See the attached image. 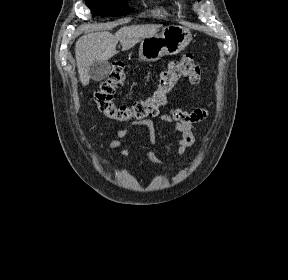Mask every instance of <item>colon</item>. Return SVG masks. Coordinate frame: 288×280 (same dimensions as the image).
<instances>
[{"instance_id":"obj_1","label":"colon","mask_w":288,"mask_h":280,"mask_svg":"<svg viewBox=\"0 0 288 280\" xmlns=\"http://www.w3.org/2000/svg\"><path fill=\"white\" fill-rule=\"evenodd\" d=\"M181 79H187L192 84L201 80L200 67L191 54L170 62L160 73L158 86L150 95L131 104L116 105L113 96L116 89L123 85L125 73L121 64H115L108 79L96 91L95 101L99 111L109 118L124 122L140 120L156 115L166 105L168 94Z\"/></svg>"}]
</instances>
